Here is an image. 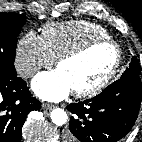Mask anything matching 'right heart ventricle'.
Here are the masks:
<instances>
[{
	"mask_svg": "<svg viewBox=\"0 0 142 142\" xmlns=\"http://www.w3.org/2000/svg\"><path fill=\"white\" fill-rule=\"evenodd\" d=\"M44 45L56 60L70 51L96 38H109L107 30L101 25L87 21L74 20L61 23H47L41 34Z\"/></svg>",
	"mask_w": 142,
	"mask_h": 142,
	"instance_id": "right-heart-ventricle-1",
	"label": "right heart ventricle"
}]
</instances>
